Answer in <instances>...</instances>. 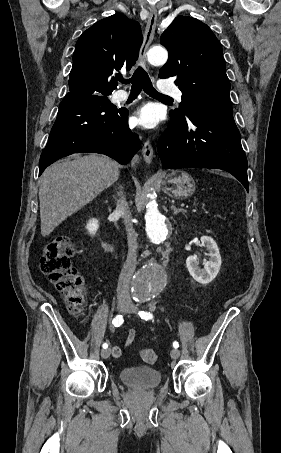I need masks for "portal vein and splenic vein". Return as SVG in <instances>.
Segmentation results:
<instances>
[{
    "label": "portal vein and splenic vein",
    "mask_w": 281,
    "mask_h": 453,
    "mask_svg": "<svg viewBox=\"0 0 281 453\" xmlns=\"http://www.w3.org/2000/svg\"><path fill=\"white\" fill-rule=\"evenodd\" d=\"M181 208H184V205H181ZM185 208H188V205H185ZM197 211H198L197 207L192 208L193 213H196ZM208 212H209L208 210H204V213H208ZM208 214L210 215L211 213L209 212Z\"/></svg>",
    "instance_id": "1"
}]
</instances>
